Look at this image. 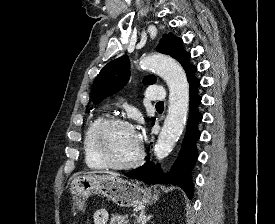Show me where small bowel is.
Instances as JSON below:
<instances>
[{
  "label": "small bowel",
  "instance_id": "obj_1",
  "mask_svg": "<svg viewBox=\"0 0 275 224\" xmlns=\"http://www.w3.org/2000/svg\"><path fill=\"white\" fill-rule=\"evenodd\" d=\"M94 224H107L108 222V213L104 209H99L94 213L93 216Z\"/></svg>",
  "mask_w": 275,
  "mask_h": 224
}]
</instances>
